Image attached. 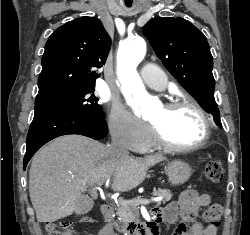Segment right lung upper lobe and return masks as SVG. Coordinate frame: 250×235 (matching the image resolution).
<instances>
[{
    "label": "right lung upper lobe",
    "mask_w": 250,
    "mask_h": 235,
    "mask_svg": "<svg viewBox=\"0 0 250 235\" xmlns=\"http://www.w3.org/2000/svg\"><path fill=\"white\" fill-rule=\"evenodd\" d=\"M110 47L97 18L84 16L57 28L45 45L37 97L95 85V69L105 64Z\"/></svg>",
    "instance_id": "cb5924a9"
}]
</instances>
